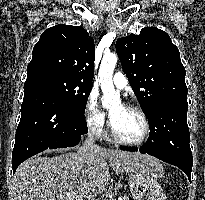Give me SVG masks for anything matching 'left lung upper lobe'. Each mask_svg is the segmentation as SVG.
Returning <instances> with one entry per match:
<instances>
[{
	"label": "left lung upper lobe",
	"instance_id": "left-lung-upper-lobe-1",
	"mask_svg": "<svg viewBox=\"0 0 205 200\" xmlns=\"http://www.w3.org/2000/svg\"><path fill=\"white\" fill-rule=\"evenodd\" d=\"M116 51L149 125L157 119L161 122L155 115L159 104L188 91L178 48L166 32L146 27L139 35L118 39Z\"/></svg>",
	"mask_w": 205,
	"mask_h": 200
}]
</instances>
